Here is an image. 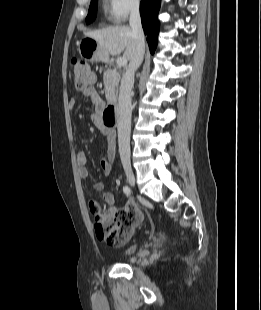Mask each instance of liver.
Segmentation results:
<instances>
[{"label":"liver","mask_w":261,"mask_h":310,"mask_svg":"<svg viewBox=\"0 0 261 310\" xmlns=\"http://www.w3.org/2000/svg\"><path fill=\"white\" fill-rule=\"evenodd\" d=\"M86 36L94 39L104 55H120L131 61L136 51V39L128 26H114L87 32Z\"/></svg>","instance_id":"6515ba94"}]
</instances>
